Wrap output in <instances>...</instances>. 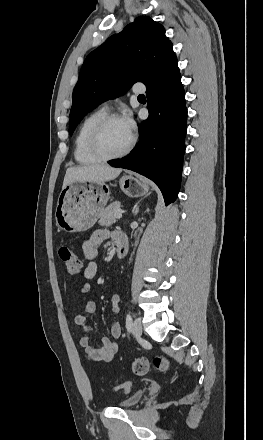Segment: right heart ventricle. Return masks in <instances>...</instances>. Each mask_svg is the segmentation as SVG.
<instances>
[{
  "label": "right heart ventricle",
  "mask_w": 263,
  "mask_h": 440,
  "mask_svg": "<svg viewBox=\"0 0 263 440\" xmlns=\"http://www.w3.org/2000/svg\"><path fill=\"white\" fill-rule=\"evenodd\" d=\"M106 114L104 108H99L88 114L81 122L74 140V158L80 164H92L100 161L88 150V136L93 125Z\"/></svg>",
  "instance_id": "1"
}]
</instances>
